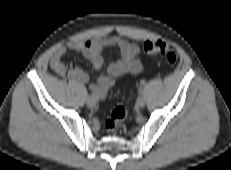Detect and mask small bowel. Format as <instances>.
Instances as JSON below:
<instances>
[{
	"mask_svg": "<svg viewBox=\"0 0 231 170\" xmlns=\"http://www.w3.org/2000/svg\"><path fill=\"white\" fill-rule=\"evenodd\" d=\"M108 47H116L119 51V59L108 66L106 75L91 77L78 66L66 68L63 57L68 52H75L86 58L95 69L103 65V51ZM50 66L59 74H66L73 80L87 84L93 78L94 82L89 84L92 94L97 99H105L108 91L115 85L117 79L127 75H136L142 70L140 59V47L119 36H108L105 38L74 41L68 45L57 48L51 59Z\"/></svg>",
	"mask_w": 231,
	"mask_h": 170,
	"instance_id": "small-bowel-1",
	"label": "small bowel"
}]
</instances>
